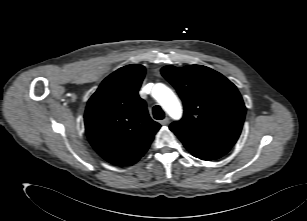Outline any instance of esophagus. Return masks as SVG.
Returning <instances> with one entry per match:
<instances>
[{"label":"esophagus","mask_w":307,"mask_h":221,"mask_svg":"<svg viewBox=\"0 0 307 221\" xmlns=\"http://www.w3.org/2000/svg\"><path fill=\"white\" fill-rule=\"evenodd\" d=\"M168 123H169V118L168 117H166V118H164L163 120L160 121L161 125H167Z\"/></svg>","instance_id":"esophagus-1"}]
</instances>
